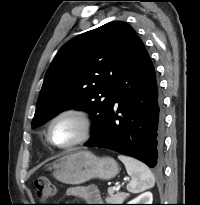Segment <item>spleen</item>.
Returning <instances> with one entry per match:
<instances>
[{
  "mask_svg": "<svg viewBox=\"0 0 200 205\" xmlns=\"http://www.w3.org/2000/svg\"><path fill=\"white\" fill-rule=\"evenodd\" d=\"M118 159L123 162L131 181L127 184V190L132 193H139L152 188L155 178L146 164L134 158L119 155Z\"/></svg>",
  "mask_w": 200,
  "mask_h": 205,
  "instance_id": "spleen-1",
  "label": "spleen"
}]
</instances>
